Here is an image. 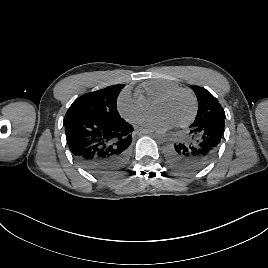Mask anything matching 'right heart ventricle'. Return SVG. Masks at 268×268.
<instances>
[{
  "label": "right heart ventricle",
  "instance_id": "e07e8e85",
  "mask_svg": "<svg viewBox=\"0 0 268 268\" xmlns=\"http://www.w3.org/2000/svg\"><path fill=\"white\" fill-rule=\"evenodd\" d=\"M176 87H179L178 84L171 79L155 78L139 85L136 95L152 107L162 95Z\"/></svg>",
  "mask_w": 268,
  "mask_h": 268
}]
</instances>
